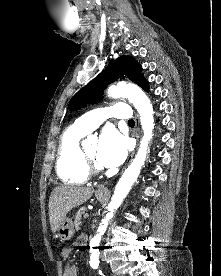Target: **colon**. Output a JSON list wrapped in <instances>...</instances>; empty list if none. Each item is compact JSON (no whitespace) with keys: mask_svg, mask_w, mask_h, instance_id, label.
<instances>
[{"mask_svg":"<svg viewBox=\"0 0 221 276\" xmlns=\"http://www.w3.org/2000/svg\"><path fill=\"white\" fill-rule=\"evenodd\" d=\"M55 247H58L59 249H62L64 247V242H55Z\"/></svg>","mask_w":221,"mask_h":276,"instance_id":"1","label":"colon"}]
</instances>
